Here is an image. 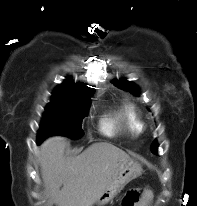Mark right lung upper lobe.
I'll list each match as a JSON object with an SVG mask.
<instances>
[{
  "instance_id": "right-lung-upper-lobe-1",
  "label": "right lung upper lobe",
  "mask_w": 197,
  "mask_h": 206,
  "mask_svg": "<svg viewBox=\"0 0 197 206\" xmlns=\"http://www.w3.org/2000/svg\"><path fill=\"white\" fill-rule=\"evenodd\" d=\"M93 92V88H89L86 85H75L70 79H67L55 89L53 95H73L78 97H87Z\"/></svg>"
}]
</instances>
